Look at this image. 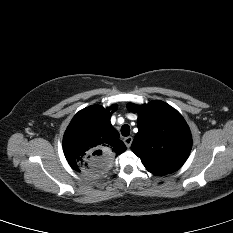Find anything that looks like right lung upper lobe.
<instances>
[{
	"mask_svg": "<svg viewBox=\"0 0 233 233\" xmlns=\"http://www.w3.org/2000/svg\"><path fill=\"white\" fill-rule=\"evenodd\" d=\"M116 105L108 108L94 105L79 111L69 124L63 149L70 166L89 176L104 174L111 161L126 150L110 118Z\"/></svg>",
	"mask_w": 233,
	"mask_h": 233,
	"instance_id": "cb5924a9",
	"label": "right lung upper lobe"
}]
</instances>
